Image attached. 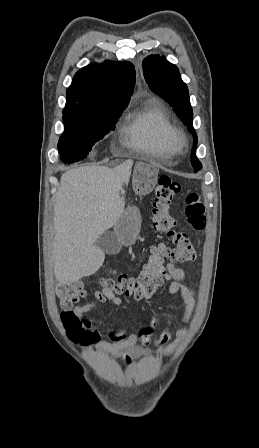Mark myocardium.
Here are the masks:
<instances>
[{
  "instance_id": "obj_1",
  "label": "myocardium",
  "mask_w": 259,
  "mask_h": 448,
  "mask_svg": "<svg viewBox=\"0 0 259 448\" xmlns=\"http://www.w3.org/2000/svg\"><path fill=\"white\" fill-rule=\"evenodd\" d=\"M168 148L167 151H158L155 155L142 152L138 156L146 163H174L187 154L188 140L185 134L178 129H172L168 135Z\"/></svg>"
}]
</instances>
